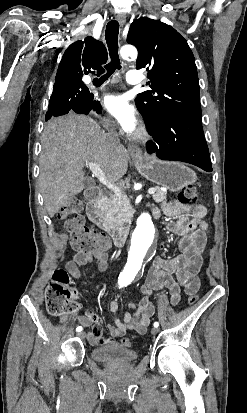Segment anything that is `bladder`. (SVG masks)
Masks as SVG:
<instances>
[{
  "label": "bladder",
  "mask_w": 247,
  "mask_h": 413,
  "mask_svg": "<svg viewBox=\"0 0 247 413\" xmlns=\"http://www.w3.org/2000/svg\"><path fill=\"white\" fill-rule=\"evenodd\" d=\"M90 355L96 362L106 364L132 363L137 358V352L124 348L119 343H107L91 350Z\"/></svg>",
  "instance_id": "31cf9c89"
}]
</instances>
